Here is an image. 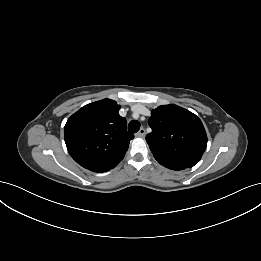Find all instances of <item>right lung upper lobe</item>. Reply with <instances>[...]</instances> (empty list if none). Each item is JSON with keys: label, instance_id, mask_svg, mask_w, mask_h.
I'll use <instances>...</instances> for the list:
<instances>
[{"label": "right lung upper lobe", "instance_id": "1", "mask_svg": "<svg viewBox=\"0 0 261 261\" xmlns=\"http://www.w3.org/2000/svg\"><path fill=\"white\" fill-rule=\"evenodd\" d=\"M120 105L103 99L83 106L65 124L64 136L71 157L82 167L104 168L124 158L134 135L118 112Z\"/></svg>", "mask_w": 261, "mask_h": 261}]
</instances>
